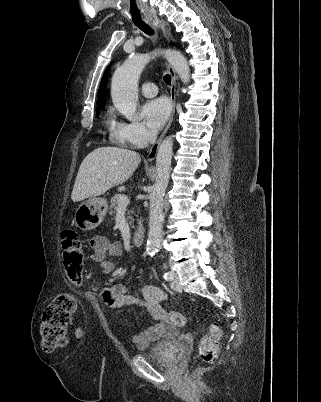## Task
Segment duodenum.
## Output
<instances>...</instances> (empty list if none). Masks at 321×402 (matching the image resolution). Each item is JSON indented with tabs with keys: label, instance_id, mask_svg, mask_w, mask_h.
Here are the masks:
<instances>
[{
	"label": "duodenum",
	"instance_id": "1",
	"mask_svg": "<svg viewBox=\"0 0 321 402\" xmlns=\"http://www.w3.org/2000/svg\"><path fill=\"white\" fill-rule=\"evenodd\" d=\"M144 239H145V227L143 223H139L135 232L133 233L132 243L133 245L139 247L143 244Z\"/></svg>",
	"mask_w": 321,
	"mask_h": 402
}]
</instances>
